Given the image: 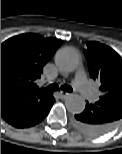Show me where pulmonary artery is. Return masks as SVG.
<instances>
[{
	"instance_id": "pulmonary-artery-1",
	"label": "pulmonary artery",
	"mask_w": 122,
	"mask_h": 154,
	"mask_svg": "<svg viewBox=\"0 0 122 154\" xmlns=\"http://www.w3.org/2000/svg\"><path fill=\"white\" fill-rule=\"evenodd\" d=\"M74 86L80 91L81 95L86 99H92L95 96V92L91 85L87 82L85 73L78 71L75 74Z\"/></svg>"
}]
</instances>
